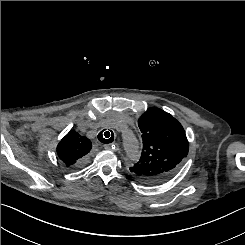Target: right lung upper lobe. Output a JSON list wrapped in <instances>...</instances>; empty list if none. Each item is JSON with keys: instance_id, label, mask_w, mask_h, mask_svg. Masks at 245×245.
<instances>
[{"instance_id": "1", "label": "right lung upper lobe", "mask_w": 245, "mask_h": 245, "mask_svg": "<svg viewBox=\"0 0 245 245\" xmlns=\"http://www.w3.org/2000/svg\"><path fill=\"white\" fill-rule=\"evenodd\" d=\"M91 141L77 132L70 131L57 146V154L66 166H78L91 150Z\"/></svg>"}]
</instances>
